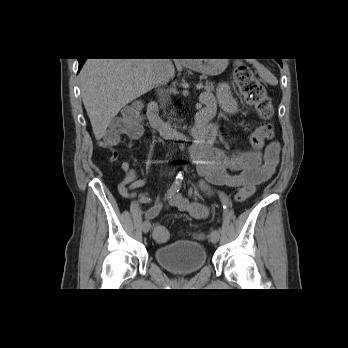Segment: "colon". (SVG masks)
<instances>
[{
  "label": "colon",
  "instance_id": "obj_1",
  "mask_svg": "<svg viewBox=\"0 0 348 348\" xmlns=\"http://www.w3.org/2000/svg\"><path fill=\"white\" fill-rule=\"evenodd\" d=\"M234 81L239 88L241 95L246 103L253 106L262 119V123L251 133L250 143L254 149L260 150L264 143L271 140L274 135L273 125L269 122L273 114L271 98L266 86L256 77L253 71L245 64H238L234 70ZM141 108L137 105H130L122 110V113L111 124L109 130L104 135L105 145L110 148V160L117 157L113 146L123 137L135 138L142 130ZM254 193L253 185L241 186L235 196L237 202H243ZM153 237L158 242H165L169 239L168 229L156 224L153 228ZM200 238L201 235H196Z\"/></svg>",
  "mask_w": 348,
  "mask_h": 348
}]
</instances>
